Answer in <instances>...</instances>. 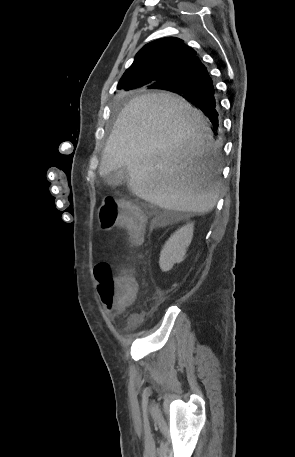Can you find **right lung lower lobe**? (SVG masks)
I'll return each instance as SVG.
<instances>
[{
	"label": "right lung lower lobe",
	"mask_w": 295,
	"mask_h": 457,
	"mask_svg": "<svg viewBox=\"0 0 295 457\" xmlns=\"http://www.w3.org/2000/svg\"><path fill=\"white\" fill-rule=\"evenodd\" d=\"M150 88L178 93L201 109L213 126L218 127L219 102L208 71L198 57L183 67L176 79L159 83Z\"/></svg>",
	"instance_id": "98d812e1"
}]
</instances>
